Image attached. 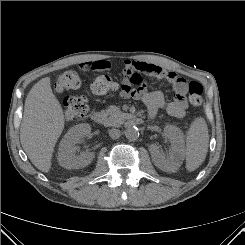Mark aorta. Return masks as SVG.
I'll return each instance as SVG.
<instances>
[{
	"mask_svg": "<svg viewBox=\"0 0 245 245\" xmlns=\"http://www.w3.org/2000/svg\"><path fill=\"white\" fill-rule=\"evenodd\" d=\"M125 136L128 140L134 141L137 140L139 137L138 128L135 126H129L125 130Z\"/></svg>",
	"mask_w": 245,
	"mask_h": 245,
	"instance_id": "762f6f07",
	"label": "aorta"
}]
</instances>
